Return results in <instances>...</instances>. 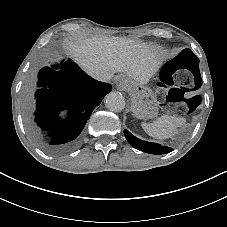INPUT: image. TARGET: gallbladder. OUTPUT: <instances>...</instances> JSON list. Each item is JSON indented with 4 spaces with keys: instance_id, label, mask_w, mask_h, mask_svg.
Here are the masks:
<instances>
[{
    "instance_id": "1",
    "label": "gallbladder",
    "mask_w": 227,
    "mask_h": 227,
    "mask_svg": "<svg viewBox=\"0 0 227 227\" xmlns=\"http://www.w3.org/2000/svg\"><path fill=\"white\" fill-rule=\"evenodd\" d=\"M27 95H28V96H30V89H28V91H27Z\"/></svg>"
}]
</instances>
